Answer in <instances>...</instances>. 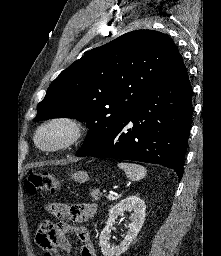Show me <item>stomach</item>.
Returning <instances> with one entry per match:
<instances>
[{
	"label": "stomach",
	"mask_w": 221,
	"mask_h": 256,
	"mask_svg": "<svg viewBox=\"0 0 221 256\" xmlns=\"http://www.w3.org/2000/svg\"><path fill=\"white\" fill-rule=\"evenodd\" d=\"M72 179L76 182L84 183L89 180V175L86 171H77L72 174Z\"/></svg>",
	"instance_id": "0dacf381"
}]
</instances>
